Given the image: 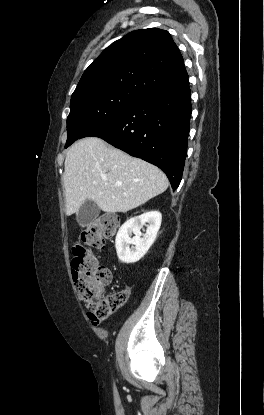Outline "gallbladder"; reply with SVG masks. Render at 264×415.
Segmentation results:
<instances>
[{
  "instance_id": "obj_1",
  "label": "gallbladder",
  "mask_w": 264,
  "mask_h": 415,
  "mask_svg": "<svg viewBox=\"0 0 264 415\" xmlns=\"http://www.w3.org/2000/svg\"><path fill=\"white\" fill-rule=\"evenodd\" d=\"M100 209L92 200H86L76 213V220L81 227L88 226L99 215Z\"/></svg>"
}]
</instances>
